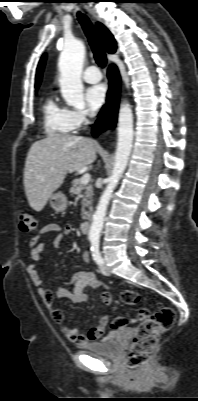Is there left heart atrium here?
<instances>
[{
	"label": "left heart atrium",
	"mask_w": 198,
	"mask_h": 401,
	"mask_svg": "<svg viewBox=\"0 0 198 401\" xmlns=\"http://www.w3.org/2000/svg\"><path fill=\"white\" fill-rule=\"evenodd\" d=\"M85 100L93 112L101 108L106 100V87L104 84H95L90 86L85 93Z\"/></svg>",
	"instance_id": "left-heart-atrium-1"
}]
</instances>
